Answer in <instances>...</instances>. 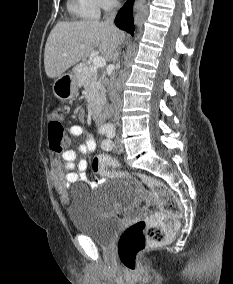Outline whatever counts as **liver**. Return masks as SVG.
Returning <instances> with one entry per match:
<instances>
[{
	"mask_svg": "<svg viewBox=\"0 0 233 284\" xmlns=\"http://www.w3.org/2000/svg\"><path fill=\"white\" fill-rule=\"evenodd\" d=\"M124 37L121 30L106 22H58L45 45V72L49 78L59 77L80 60L94 54L96 48L105 60H111Z\"/></svg>",
	"mask_w": 233,
	"mask_h": 284,
	"instance_id": "6515ba94",
	"label": "liver"
}]
</instances>
